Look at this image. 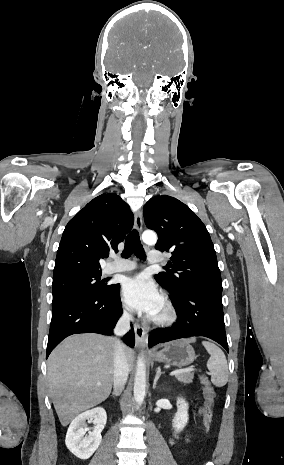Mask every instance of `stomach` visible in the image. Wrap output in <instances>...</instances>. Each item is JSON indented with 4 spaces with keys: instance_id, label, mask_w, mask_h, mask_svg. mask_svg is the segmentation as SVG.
<instances>
[{
    "instance_id": "obj_1",
    "label": "stomach",
    "mask_w": 284,
    "mask_h": 465,
    "mask_svg": "<svg viewBox=\"0 0 284 465\" xmlns=\"http://www.w3.org/2000/svg\"><path fill=\"white\" fill-rule=\"evenodd\" d=\"M152 357L158 363H167V365H174V367H187L193 363L195 351L188 343L171 341V343H166L162 351L155 353Z\"/></svg>"
}]
</instances>
